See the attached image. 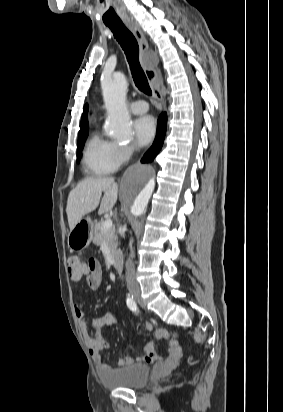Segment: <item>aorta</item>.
Masks as SVG:
<instances>
[{"instance_id":"obj_1","label":"aorta","mask_w":283,"mask_h":412,"mask_svg":"<svg viewBox=\"0 0 283 412\" xmlns=\"http://www.w3.org/2000/svg\"><path fill=\"white\" fill-rule=\"evenodd\" d=\"M128 79L116 73L102 81V93L108 113L107 134L125 141L131 136L130 116L126 106ZM154 188V179L148 169L129 171L122 182L124 197L131 202V213L135 217L143 214Z\"/></svg>"}]
</instances>
